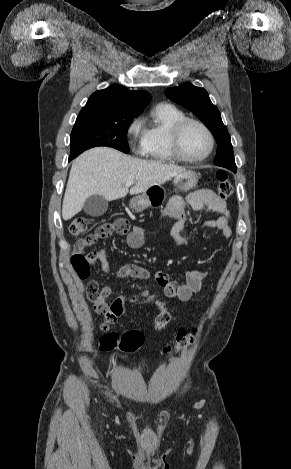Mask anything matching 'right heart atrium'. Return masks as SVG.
<instances>
[{
    "label": "right heart atrium",
    "instance_id": "1",
    "mask_svg": "<svg viewBox=\"0 0 291 469\" xmlns=\"http://www.w3.org/2000/svg\"><path fill=\"white\" fill-rule=\"evenodd\" d=\"M144 129L139 117L133 119L127 127L126 137L133 149H141Z\"/></svg>",
    "mask_w": 291,
    "mask_h": 469
}]
</instances>
